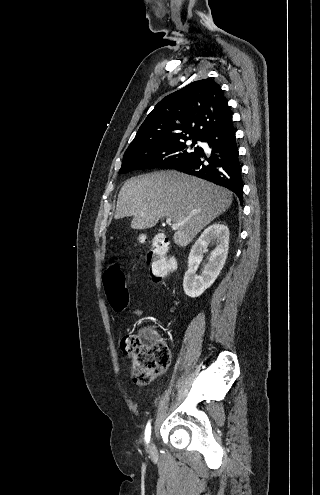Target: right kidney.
Segmentation results:
<instances>
[{
  "instance_id": "right-kidney-1",
  "label": "right kidney",
  "mask_w": 320,
  "mask_h": 495,
  "mask_svg": "<svg viewBox=\"0 0 320 495\" xmlns=\"http://www.w3.org/2000/svg\"><path fill=\"white\" fill-rule=\"evenodd\" d=\"M215 244L201 276L196 275V265L203 259L209 243ZM229 249V229L226 225L215 223L207 227L193 245L188 258V270L183 280L184 292L191 298L199 297L209 288L220 274Z\"/></svg>"
}]
</instances>
